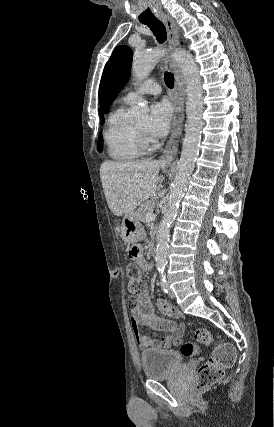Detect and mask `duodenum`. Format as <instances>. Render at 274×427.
<instances>
[{"label":"duodenum","instance_id":"410a0bca","mask_svg":"<svg viewBox=\"0 0 274 427\" xmlns=\"http://www.w3.org/2000/svg\"><path fill=\"white\" fill-rule=\"evenodd\" d=\"M156 251H157L156 246H152V247L150 248V254H151V255H155V254H156Z\"/></svg>","mask_w":274,"mask_h":427}]
</instances>
